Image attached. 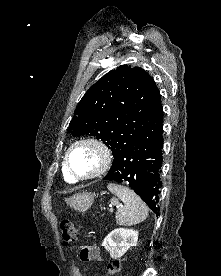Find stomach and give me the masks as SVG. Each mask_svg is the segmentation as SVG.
Segmentation results:
<instances>
[{
  "mask_svg": "<svg viewBox=\"0 0 221 276\" xmlns=\"http://www.w3.org/2000/svg\"><path fill=\"white\" fill-rule=\"evenodd\" d=\"M94 201V194L79 193L67 200V204L76 211L84 212L90 208Z\"/></svg>",
  "mask_w": 221,
  "mask_h": 276,
  "instance_id": "obj_1",
  "label": "stomach"
}]
</instances>
